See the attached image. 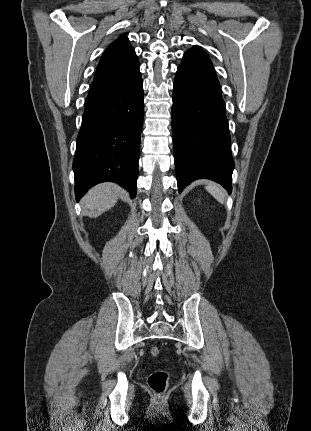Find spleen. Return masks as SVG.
<instances>
[{"label": "spleen", "instance_id": "1", "mask_svg": "<svg viewBox=\"0 0 311 431\" xmlns=\"http://www.w3.org/2000/svg\"><path fill=\"white\" fill-rule=\"evenodd\" d=\"M206 190H208L209 194H212V196H214L218 202L223 204L225 192L222 190V188H220V186H218V184H208V186H206Z\"/></svg>", "mask_w": 311, "mask_h": 431}]
</instances>
